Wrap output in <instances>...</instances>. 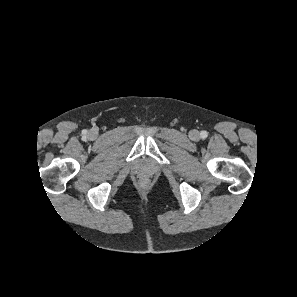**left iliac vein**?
<instances>
[{"label":"left iliac vein","mask_w":297,"mask_h":297,"mask_svg":"<svg viewBox=\"0 0 297 297\" xmlns=\"http://www.w3.org/2000/svg\"><path fill=\"white\" fill-rule=\"evenodd\" d=\"M189 137H190L192 140L197 141V140L199 139V137H200V134H199V132H198L197 130H192V131H190V133H189Z\"/></svg>","instance_id":"1"}]
</instances>
